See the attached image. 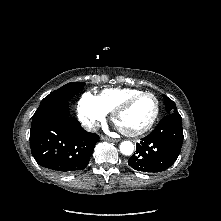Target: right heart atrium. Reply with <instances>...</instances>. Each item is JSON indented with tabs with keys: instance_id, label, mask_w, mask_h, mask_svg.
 I'll return each mask as SVG.
<instances>
[{
	"instance_id": "d8ad5b80",
	"label": "right heart atrium",
	"mask_w": 221,
	"mask_h": 221,
	"mask_svg": "<svg viewBox=\"0 0 221 221\" xmlns=\"http://www.w3.org/2000/svg\"><path fill=\"white\" fill-rule=\"evenodd\" d=\"M107 111L102 107L97 96L90 92L82 95L78 103V118L88 129L94 130L105 120Z\"/></svg>"
}]
</instances>
